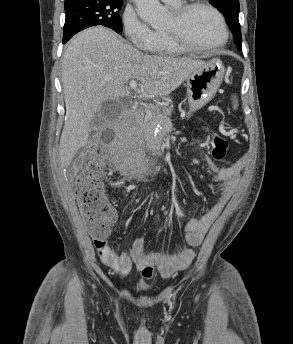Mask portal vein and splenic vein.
Returning <instances> with one entry per match:
<instances>
[{
	"instance_id": "18ae733b",
	"label": "portal vein and splenic vein",
	"mask_w": 293,
	"mask_h": 344,
	"mask_svg": "<svg viewBox=\"0 0 293 344\" xmlns=\"http://www.w3.org/2000/svg\"><path fill=\"white\" fill-rule=\"evenodd\" d=\"M129 87L135 89L137 87V82L135 80H131L129 82Z\"/></svg>"
}]
</instances>
